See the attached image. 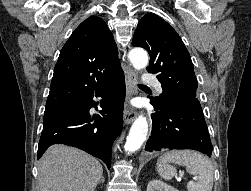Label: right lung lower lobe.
Listing matches in <instances>:
<instances>
[{
	"label": "right lung lower lobe",
	"mask_w": 251,
	"mask_h": 191,
	"mask_svg": "<svg viewBox=\"0 0 251 191\" xmlns=\"http://www.w3.org/2000/svg\"><path fill=\"white\" fill-rule=\"evenodd\" d=\"M94 97L103 99L101 115L91 116ZM125 100L124 74L108 85L97 88L82 100L44 114L43 130L38 145V158L55 143L77 147L111 164V147L122 129ZM96 108V107H95ZM94 120V123H91Z\"/></svg>",
	"instance_id": "right-lung-lower-lobe-1"
}]
</instances>
